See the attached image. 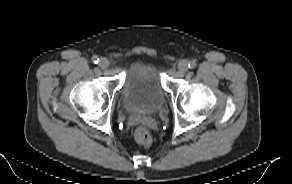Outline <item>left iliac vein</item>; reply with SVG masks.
<instances>
[{
	"label": "left iliac vein",
	"instance_id": "left-iliac-vein-1",
	"mask_svg": "<svg viewBox=\"0 0 292 184\" xmlns=\"http://www.w3.org/2000/svg\"><path fill=\"white\" fill-rule=\"evenodd\" d=\"M180 73H185L188 70V63L186 60H180L177 66Z\"/></svg>",
	"mask_w": 292,
	"mask_h": 184
}]
</instances>
